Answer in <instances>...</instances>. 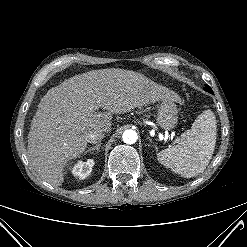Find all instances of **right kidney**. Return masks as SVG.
<instances>
[{
    "mask_svg": "<svg viewBox=\"0 0 247 247\" xmlns=\"http://www.w3.org/2000/svg\"><path fill=\"white\" fill-rule=\"evenodd\" d=\"M95 162L93 159H87V161H78L71 169L72 174L79 178L85 179L87 178L94 166Z\"/></svg>",
    "mask_w": 247,
    "mask_h": 247,
    "instance_id": "ca27d5eb",
    "label": "right kidney"
}]
</instances>
